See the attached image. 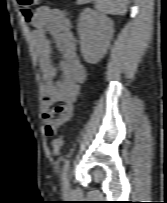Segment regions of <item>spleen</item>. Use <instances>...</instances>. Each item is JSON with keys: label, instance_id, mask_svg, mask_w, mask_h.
<instances>
[{"label": "spleen", "instance_id": "1", "mask_svg": "<svg viewBox=\"0 0 167 203\" xmlns=\"http://www.w3.org/2000/svg\"><path fill=\"white\" fill-rule=\"evenodd\" d=\"M129 0H96L95 8L103 14L124 15Z\"/></svg>", "mask_w": 167, "mask_h": 203}]
</instances>
